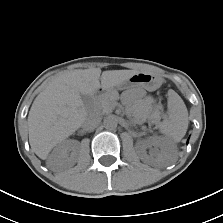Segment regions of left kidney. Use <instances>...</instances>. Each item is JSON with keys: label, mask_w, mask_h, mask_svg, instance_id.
I'll return each instance as SVG.
<instances>
[{"label": "left kidney", "mask_w": 223, "mask_h": 223, "mask_svg": "<svg viewBox=\"0 0 223 223\" xmlns=\"http://www.w3.org/2000/svg\"><path fill=\"white\" fill-rule=\"evenodd\" d=\"M141 160L155 166H170L177 158L175 145L166 138L152 137L136 145ZM150 147V151L147 149Z\"/></svg>", "instance_id": "1"}]
</instances>
